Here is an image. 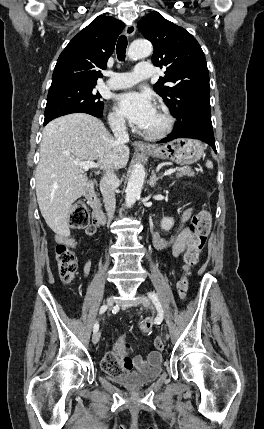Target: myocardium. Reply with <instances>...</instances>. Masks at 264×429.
Instances as JSON below:
<instances>
[{
    "instance_id": "myocardium-1",
    "label": "myocardium",
    "mask_w": 264,
    "mask_h": 429,
    "mask_svg": "<svg viewBox=\"0 0 264 429\" xmlns=\"http://www.w3.org/2000/svg\"><path fill=\"white\" fill-rule=\"evenodd\" d=\"M157 112L162 116L164 120L163 126L157 131H146L142 130V135L151 140L161 139L167 136L174 125V118L171 115L170 111L165 106H158Z\"/></svg>"
}]
</instances>
